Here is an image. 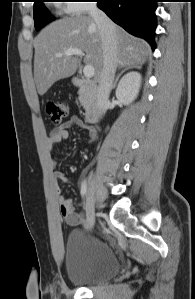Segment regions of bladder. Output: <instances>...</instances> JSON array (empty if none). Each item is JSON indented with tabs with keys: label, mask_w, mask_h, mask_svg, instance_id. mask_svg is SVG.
<instances>
[{
	"label": "bladder",
	"mask_w": 195,
	"mask_h": 299,
	"mask_svg": "<svg viewBox=\"0 0 195 299\" xmlns=\"http://www.w3.org/2000/svg\"><path fill=\"white\" fill-rule=\"evenodd\" d=\"M65 251L67 276L74 284L93 285L112 279L120 272L121 264L113 249L81 230L70 232Z\"/></svg>",
	"instance_id": "bladder-1"
}]
</instances>
